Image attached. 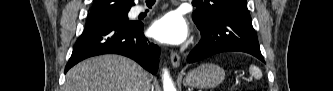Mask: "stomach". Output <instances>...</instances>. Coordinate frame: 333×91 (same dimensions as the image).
<instances>
[{
    "label": "stomach",
    "mask_w": 333,
    "mask_h": 91,
    "mask_svg": "<svg viewBox=\"0 0 333 91\" xmlns=\"http://www.w3.org/2000/svg\"><path fill=\"white\" fill-rule=\"evenodd\" d=\"M225 78V71L216 64L204 63L193 69L183 79L189 87L209 89L218 86Z\"/></svg>",
    "instance_id": "1"
}]
</instances>
